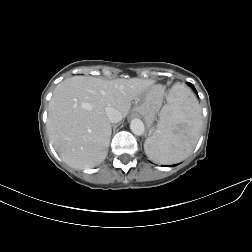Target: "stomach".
Instances as JSON below:
<instances>
[{"label":"stomach","instance_id":"stomach-1","mask_svg":"<svg viewBox=\"0 0 252 252\" xmlns=\"http://www.w3.org/2000/svg\"><path fill=\"white\" fill-rule=\"evenodd\" d=\"M163 96L164 90L162 87L152 86L139 96L134 111L143 116L148 125H152L156 114L159 112Z\"/></svg>","mask_w":252,"mask_h":252}]
</instances>
